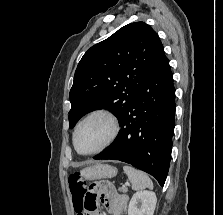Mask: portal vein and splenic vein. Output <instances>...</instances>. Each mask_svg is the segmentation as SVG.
Instances as JSON below:
<instances>
[{
    "mask_svg": "<svg viewBox=\"0 0 223 215\" xmlns=\"http://www.w3.org/2000/svg\"><path fill=\"white\" fill-rule=\"evenodd\" d=\"M130 183L129 179L125 180V183H123V188H128V184Z\"/></svg>",
    "mask_w": 223,
    "mask_h": 215,
    "instance_id": "18ae733b",
    "label": "portal vein and splenic vein"
}]
</instances>
